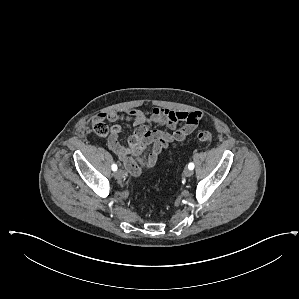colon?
Wrapping results in <instances>:
<instances>
[{
    "label": "colon",
    "mask_w": 299,
    "mask_h": 299,
    "mask_svg": "<svg viewBox=\"0 0 299 299\" xmlns=\"http://www.w3.org/2000/svg\"><path fill=\"white\" fill-rule=\"evenodd\" d=\"M92 131L99 138H107L110 135L109 126L102 119H96L92 123ZM197 139L203 143L210 144L212 142V135L209 131L202 130L197 133Z\"/></svg>",
    "instance_id": "colon-1"
}]
</instances>
